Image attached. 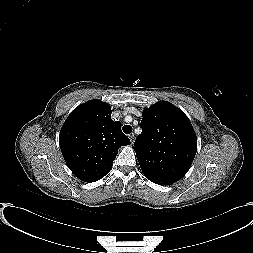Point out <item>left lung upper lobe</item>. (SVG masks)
I'll use <instances>...</instances> for the list:
<instances>
[{
	"mask_svg": "<svg viewBox=\"0 0 253 253\" xmlns=\"http://www.w3.org/2000/svg\"><path fill=\"white\" fill-rule=\"evenodd\" d=\"M142 133L134 150L144 175L153 183L170 185L189 170L197 138L185 113L167 101L143 111Z\"/></svg>",
	"mask_w": 253,
	"mask_h": 253,
	"instance_id": "obj_1",
	"label": "left lung upper lobe"
}]
</instances>
